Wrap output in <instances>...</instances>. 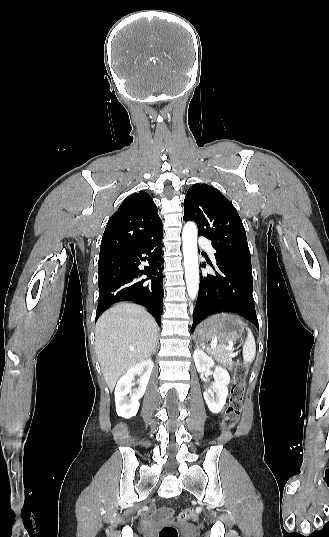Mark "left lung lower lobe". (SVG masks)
I'll list each match as a JSON object with an SVG mask.
<instances>
[{
    "label": "left lung lower lobe",
    "mask_w": 329,
    "mask_h": 537,
    "mask_svg": "<svg viewBox=\"0 0 329 537\" xmlns=\"http://www.w3.org/2000/svg\"><path fill=\"white\" fill-rule=\"evenodd\" d=\"M216 258V275L201 274L193 311L192 331L206 316L218 312L239 313L258 327L252 295V269ZM205 266V263H202Z\"/></svg>",
    "instance_id": "1"
}]
</instances>
